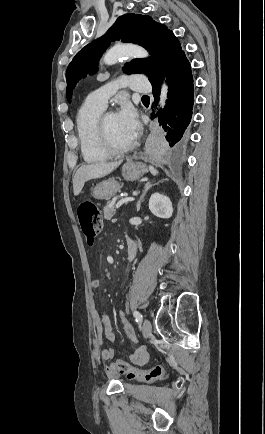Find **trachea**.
Segmentation results:
<instances>
[{
    "label": "trachea",
    "instance_id": "obj_1",
    "mask_svg": "<svg viewBox=\"0 0 265 434\" xmlns=\"http://www.w3.org/2000/svg\"><path fill=\"white\" fill-rule=\"evenodd\" d=\"M145 98H148V99H149V97H148V96L144 95V96L142 97V99H145Z\"/></svg>",
    "mask_w": 265,
    "mask_h": 434
}]
</instances>
